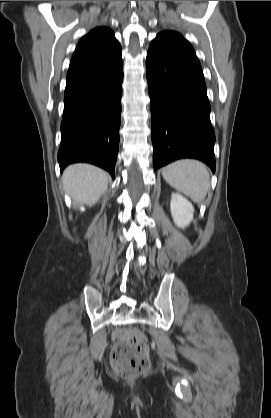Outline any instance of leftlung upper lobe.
I'll return each mask as SVG.
<instances>
[{"label": "left lung upper lobe", "instance_id": "obj_1", "mask_svg": "<svg viewBox=\"0 0 271 418\" xmlns=\"http://www.w3.org/2000/svg\"><path fill=\"white\" fill-rule=\"evenodd\" d=\"M156 38L164 39V40H166L170 43H173V44L179 46L185 52L189 53L190 55H192L194 58H196L198 60L193 47L190 45V43L188 41H186L183 38V36L181 34H179L177 32H174V31H163V32L159 33L156 36Z\"/></svg>", "mask_w": 271, "mask_h": 418}]
</instances>
